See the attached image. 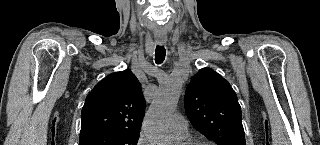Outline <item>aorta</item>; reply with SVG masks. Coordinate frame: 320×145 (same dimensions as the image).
Wrapping results in <instances>:
<instances>
[{
    "instance_id": "762f6f07",
    "label": "aorta",
    "mask_w": 320,
    "mask_h": 145,
    "mask_svg": "<svg viewBox=\"0 0 320 145\" xmlns=\"http://www.w3.org/2000/svg\"><path fill=\"white\" fill-rule=\"evenodd\" d=\"M181 86L179 79L165 80L146 113L143 130L152 145H173L168 121L179 100Z\"/></svg>"
}]
</instances>
